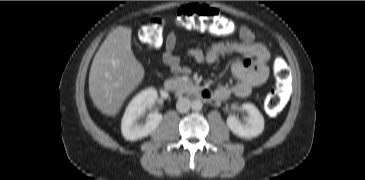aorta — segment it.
<instances>
[{
    "label": "aorta",
    "instance_id": "762f6f07",
    "mask_svg": "<svg viewBox=\"0 0 365 180\" xmlns=\"http://www.w3.org/2000/svg\"><path fill=\"white\" fill-rule=\"evenodd\" d=\"M202 102L200 100H194L192 103H191V107L194 111H200L202 109Z\"/></svg>",
    "mask_w": 365,
    "mask_h": 180
}]
</instances>
